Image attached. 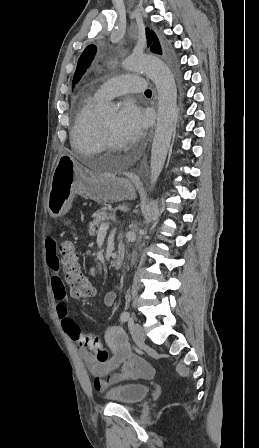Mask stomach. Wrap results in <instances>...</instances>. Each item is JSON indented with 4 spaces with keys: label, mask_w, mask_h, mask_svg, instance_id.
I'll return each mask as SVG.
<instances>
[{
    "label": "stomach",
    "mask_w": 259,
    "mask_h": 448,
    "mask_svg": "<svg viewBox=\"0 0 259 448\" xmlns=\"http://www.w3.org/2000/svg\"><path fill=\"white\" fill-rule=\"evenodd\" d=\"M76 160L69 154H62L53 172L47 198V210L50 216L58 218L67 210L75 194Z\"/></svg>",
    "instance_id": "obj_1"
}]
</instances>
